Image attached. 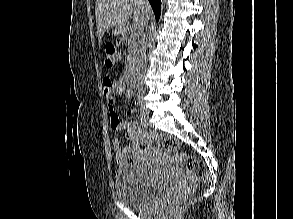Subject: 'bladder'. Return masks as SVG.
I'll use <instances>...</instances> for the list:
<instances>
[{"instance_id":"obj_1","label":"bladder","mask_w":293,"mask_h":219,"mask_svg":"<svg viewBox=\"0 0 293 219\" xmlns=\"http://www.w3.org/2000/svg\"><path fill=\"white\" fill-rule=\"evenodd\" d=\"M167 156L166 153L162 152ZM115 194L128 207L143 208L156 200L167 186L166 180H148L133 165H122L115 173Z\"/></svg>"}]
</instances>
